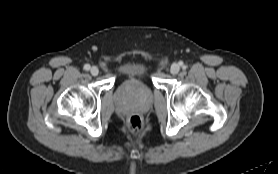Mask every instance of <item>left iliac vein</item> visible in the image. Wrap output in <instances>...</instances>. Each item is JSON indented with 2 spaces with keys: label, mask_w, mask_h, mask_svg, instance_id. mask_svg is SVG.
<instances>
[{
  "label": "left iliac vein",
  "mask_w": 278,
  "mask_h": 174,
  "mask_svg": "<svg viewBox=\"0 0 278 174\" xmlns=\"http://www.w3.org/2000/svg\"><path fill=\"white\" fill-rule=\"evenodd\" d=\"M179 70H180V67L178 64L174 63L171 65L170 72L172 74H177L179 72Z\"/></svg>",
  "instance_id": "1"
}]
</instances>
